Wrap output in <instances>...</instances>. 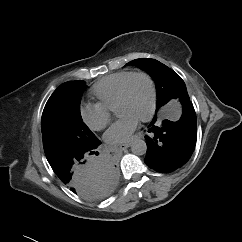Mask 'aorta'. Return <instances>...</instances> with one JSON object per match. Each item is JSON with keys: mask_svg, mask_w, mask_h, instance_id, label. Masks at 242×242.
Returning <instances> with one entry per match:
<instances>
[{"mask_svg": "<svg viewBox=\"0 0 242 242\" xmlns=\"http://www.w3.org/2000/svg\"><path fill=\"white\" fill-rule=\"evenodd\" d=\"M131 151L133 154L141 156L146 154L147 145L146 142L142 139H137L131 144Z\"/></svg>", "mask_w": 242, "mask_h": 242, "instance_id": "1", "label": "aorta"}]
</instances>
